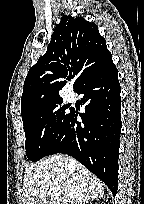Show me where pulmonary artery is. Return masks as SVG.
<instances>
[{
  "mask_svg": "<svg viewBox=\"0 0 144 204\" xmlns=\"http://www.w3.org/2000/svg\"><path fill=\"white\" fill-rule=\"evenodd\" d=\"M71 96H72L71 94H68V97H69V98H71Z\"/></svg>",
  "mask_w": 144,
  "mask_h": 204,
  "instance_id": "1",
  "label": "pulmonary artery"
}]
</instances>
